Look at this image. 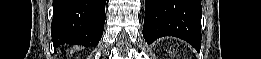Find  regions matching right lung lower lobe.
<instances>
[{
  "instance_id": "1",
  "label": "right lung lower lobe",
  "mask_w": 261,
  "mask_h": 59,
  "mask_svg": "<svg viewBox=\"0 0 261 59\" xmlns=\"http://www.w3.org/2000/svg\"><path fill=\"white\" fill-rule=\"evenodd\" d=\"M106 0H54L51 24L55 47H96L103 34Z\"/></svg>"
}]
</instances>
